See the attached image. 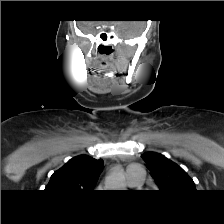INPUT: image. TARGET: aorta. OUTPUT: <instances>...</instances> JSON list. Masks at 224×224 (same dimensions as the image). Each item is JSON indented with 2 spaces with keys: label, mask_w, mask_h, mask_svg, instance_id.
Wrapping results in <instances>:
<instances>
[{
  "label": "aorta",
  "mask_w": 224,
  "mask_h": 224,
  "mask_svg": "<svg viewBox=\"0 0 224 224\" xmlns=\"http://www.w3.org/2000/svg\"><path fill=\"white\" fill-rule=\"evenodd\" d=\"M124 187V177L119 167H115L108 176L106 188L121 190Z\"/></svg>",
  "instance_id": "1"
}]
</instances>
